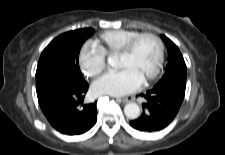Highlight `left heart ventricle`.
Instances as JSON below:
<instances>
[{
	"instance_id": "b2bd125f",
	"label": "left heart ventricle",
	"mask_w": 225,
	"mask_h": 155,
	"mask_svg": "<svg viewBox=\"0 0 225 155\" xmlns=\"http://www.w3.org/2000/svg\"><path fill=\"white\" fill-rule=\"evenodd\" d=\"M158 49L156 42L151 38L141 39L133 52L127 56H118L117 67L132 69L144 80L154 69L157 61Z\"/></svg>"
}]
</instances>
